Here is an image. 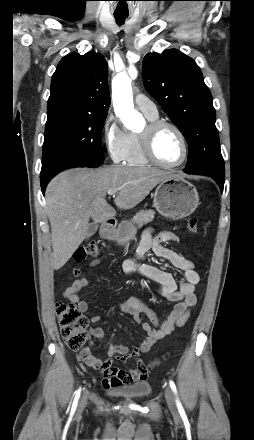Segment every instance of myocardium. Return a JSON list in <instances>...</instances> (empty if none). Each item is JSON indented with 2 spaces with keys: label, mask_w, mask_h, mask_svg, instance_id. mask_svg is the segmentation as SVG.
<instances>
[{
  "label": "myocardium",
  "mask_w": 254,
  "mask_h": 440,
  "mask_svg": "<svg viewBox=\"0 0 254 440\" xmlns=\"http://www.w3.org/2000/svg\"><path fill=\"white\" fill-rule=\"evenodd\" d=\"M163 128L172 129L174 132H176V134L179 136V138L182 142L183 156H182L181 161L176 164L164 163L163 161H161L159 159V157L156 154L155 141H156L158 133ZM140 138H141L142 150H143L145 157L149 160L150 163H152L154 165H157V166H160L163 168H168V169L177 168V167H180L181 165H183L188 158L189 146H188L186 136L183 133V131L176 124H174L170 121L162 120V119L149 121V123L146 125L145 129L140 133Z\"/></svg>",
  "instance_id": "myocardium-1"
}]
</instances>
